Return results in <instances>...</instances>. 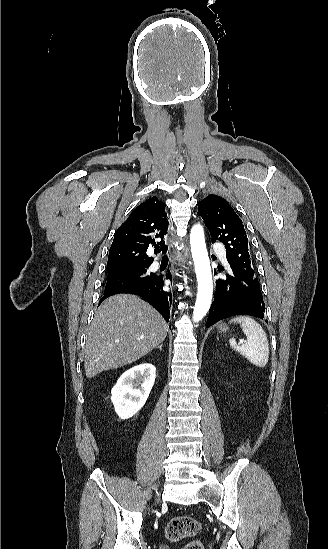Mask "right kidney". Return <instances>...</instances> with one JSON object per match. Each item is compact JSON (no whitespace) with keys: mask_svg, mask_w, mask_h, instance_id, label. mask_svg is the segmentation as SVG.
<instances>
[{"mask_svg":"<svg viewBox=\"0 0 328 549\" xmlns=\"http://www.w3.org/2000/svg\"><path fill=\"white\" fill-rule=\"evenodd\" d=\"M155 377L156 369L151 363L136 365L119 377L111 391V401L118 417L129 419L144 407Z\"/></svg>","mask_w":328,"mask_h":549,"instance_id":"obj_1","label":"right kidney"}]
</instances>
